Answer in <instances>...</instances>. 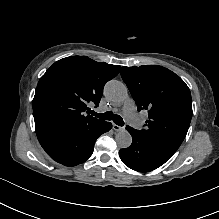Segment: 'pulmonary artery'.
<instances>
[{
  "label": "pulmonary artery",
  "mask_w": 219,
  "mask_h": 219,
  "mask_svg": "<svg viewBox=\"0 0 219 219\" xmlns=\"http://www.w3.org/2000/svg\"><path fill=\"white\" fill-rule=\"evenodd\" d=\"M134 101L127 97L123 105V113L128 118L131 124H136L139 121V116L136 114Z\"/></svg>",
  "instance_id": "e3ab8cb5"
}]
</instances>
